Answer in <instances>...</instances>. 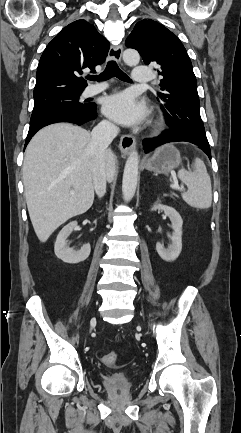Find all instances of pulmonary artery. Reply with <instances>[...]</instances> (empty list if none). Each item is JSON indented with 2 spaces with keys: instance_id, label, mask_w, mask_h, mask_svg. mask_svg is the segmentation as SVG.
<instances>
[{
  "instance_id": "obj_1",
  "label": "pulmonary artery",
  "mask_w": 241,
  "mask_h": 433,
  "mask_svg": "<svg viewBox=\"0 0 241 433\" xmlns=\"http://www.w3.org/2000/svg\"><path fill=\"white\" fill-rule=\"evenodd\" d=\"M151 71L146 66H135L132 73V81L136 84H145L151 81ZM106 88V84L89 86L84 90L83 95L93 96Z\"/></svg>"
}]
</instances>
